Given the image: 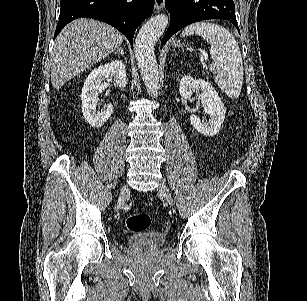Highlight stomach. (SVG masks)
<instances>
[{"label":"stomach","instance_id":"1","mask_svg":"<svg viewBox=\"0 0 307 301\" xmlns=\"http://www.w3.org/2000/svg\"><path fill=\"white\" fill-rule=\"evenodd\" d=\"M180 42H174V46H179Z\"/></svg>","mask_w":307,"mask_h":301}]
</instances>
